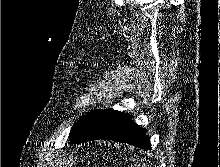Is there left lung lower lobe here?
Masks as SVG:
<instances>
[{"label": "left lung lower lobe", "instance_id": "left-lung-lower-lobe-1", "mask_svg": "<svg viewBox=\"0 0 220 167\" xmlns=\"http://www.w3.org/2000/svg\"><path fill=\"white\" fill-rule=\"evenodd\" d=\"M99 139L128 143L143 150L151 149L146 130L137 126L130 115L112 109L103 110L85 134L72 144Z\"/></svg>", "mask_w": 220, "mask_h": 167}]
</instances>
